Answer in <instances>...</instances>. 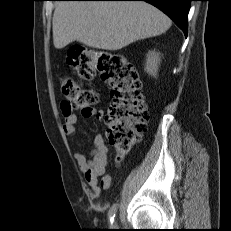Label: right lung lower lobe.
Here are the masks:
<instances>
[{"label":"right lung lower lobe","instance_id":"obj_1","mask_svg":"<svg viewBox=\"0 0 231 231\" xmlns=\"http://www.w3.org/2000/svg\"><path fill=\"white\" fill-rule=\"evenodd\" d=\"M88 1H146L168 15L187 35V17L192 0H88Z\"/></svg>","mask_w":231,"mask_h":231}]
</instances>
